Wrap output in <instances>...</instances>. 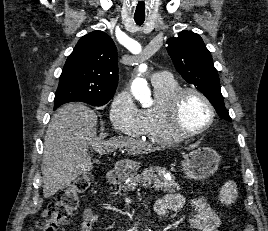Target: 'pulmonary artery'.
Returning <instances> with one entry per match:
<instances>
[{
	"label": "pulmonary artery",
	"mask_w": 268,
	"mask_h": 231,
	"mask_svg": "<svg viewBox=\"0 0 268 231\" xmlns=\"http://www.w3.org/2000/svg\"><path fill=\"white\" fill-rule=\"evenodd\" d=\"M167 76V72H157L155 74H153L151 81L152 83L157 82L161 79H165V77Z\"/></svg>",
	"instance_id": "pulmonary-artery-1"
}]
</instances>
